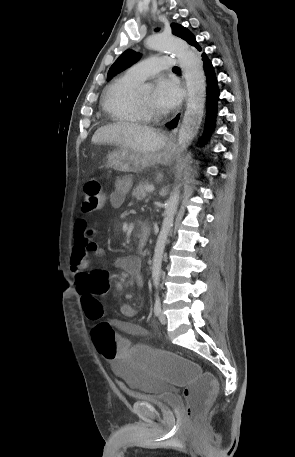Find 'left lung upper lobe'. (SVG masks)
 Listing matches in <instances>:
<instances>
[{"instance_id":"left-lung-upper-lobe-1","label":"left lung upper lobe","mask_w":295,"mask_h":457,"mask_svg":"<svg viewBox=\"0 0 295 457\" xmlns=\"http://www.w3.org/2000/svg\"><path fill=\"white\" fill-rule=\"evenodd\" d=\"M172 32L174 35L182 38L188 44H192L196 39L195 36L185 27L182 25L172 23L171 24ZM158 30V29H157ZM140 58V54L128 49L119 58L114 62V64L110 67L108 71L107 79L110 80L112 77L117 75L118 73L124 71L126 68L131 66Z\"/></svg>"}]
</instances>
